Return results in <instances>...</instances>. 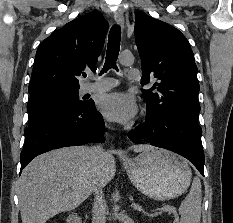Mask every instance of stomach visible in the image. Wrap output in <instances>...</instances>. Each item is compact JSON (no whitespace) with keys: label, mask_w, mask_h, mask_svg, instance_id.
I'll return each mask as SVG.
<instances>
[{"label":"stomach","mask_w":233,"mask_h":223,"mask_svg":"<svg viewBox=\"0 0 233 223\" xmlns=\"http://www.w3.org/2000/svg\"><path fill=\"white\" fill-rule=\"evenodd\" d=\"M123 163L133 185L152 199H173L190 185L192 173L188 161L167 149L152 147L124 159Z\"/></svg>","instance_id":"stomach-1"}]
</instances>
